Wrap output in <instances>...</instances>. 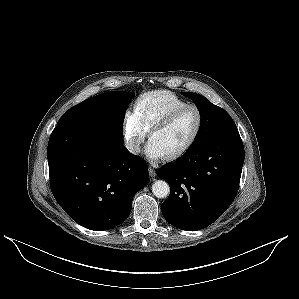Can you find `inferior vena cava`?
Masks as SVG:
<instances>
[{
    "label": "inferior vena cava",
    "mask_w": 299,
    "mask_h": 299,
    "mask_svg": "<svg viewBox=\"0 0 299 299\" xmlns=\"http://www.w3.org/2000/svg\"><path fill=\"white\" fill-rule=\"evenodd\" d=\"M125 146L133 154H138L140 152L139 144L136 142L127 141Z\"/></svg>",
    "instance_id": "602c4592"
}]
</instances>
